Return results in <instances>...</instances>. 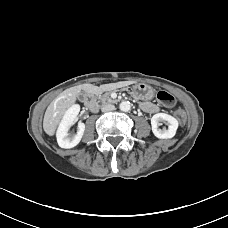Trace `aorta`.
Segmentation results:
<instances>
[{"label":"aorta","instance_id":"aorta-1","mask_svg":"<svg viewBox=\"0 0 228 228\" xmlns=\"http://www.w3.org/2000/svg\"><path fill=\"white\" fill-rule=\"evenodd\" d=\"M119 108L123 112H128L131 109V105L129 101H123L120 103Z\"/></svg>","mask_w":228,"mask_h":228}]
</instances>
